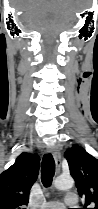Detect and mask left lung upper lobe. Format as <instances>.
I'll list each match as a JSON object with an SVG mask.
<instances>
[{
	"mask_svg": "<svg viewBox=\"0 0 98 209\" xmlns=\"http://www.w3.org/2000/svg\"><path fill=\"white\" fill-rule=\"evenodd\" d=\"M65 158L78 193L85 200L83 209H98V160L78 145L69 148Z\"/></svg>",
	"mask_w": 98,
	"mask_h": 209,
	"instance_id": "obj_1",
	"label": "left lung upper lobe"
}]
</instances>
